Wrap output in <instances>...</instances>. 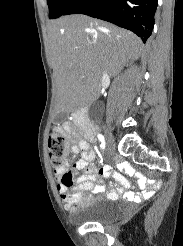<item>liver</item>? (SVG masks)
I'll return each mask as SVG.
<instances>
[{"label":"liver","instance_id":"liver-1","mask_svg":"<svg viewBox=\"0 0 183 246\" xmlns=\"http://www.w3.org/2000/svg\"><path fill=\"white\" fill-rule=\"evenodd\" d=\"M48 40L57 109L64 112L75 110L100 87L103 70L115 77L143 49L132 32L85 15L52 21Z\"/></svg>","mask_w":183,"mask_h":246}]
</instances>
